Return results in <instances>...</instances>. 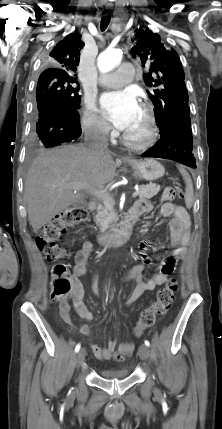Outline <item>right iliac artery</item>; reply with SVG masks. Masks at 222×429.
Masks as SVG:
<instances>
[{"label":"right iliac artery","instance_id":"right-iliac-artery-1","mask_svg":"<svg viewBox=\"0 0 222 429\" xmlns=\"http://www.w3.org/2000/svg\"><path fill=\"white\" fill-rule=\"evenodd\" d=\"M80 350V344H77L75 347V352L77 353Z\"/></svg>","mask_w":222,"mask_h":429}]
</instances>
